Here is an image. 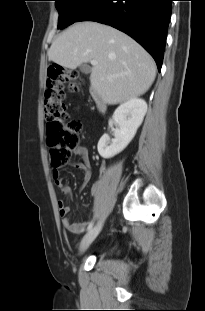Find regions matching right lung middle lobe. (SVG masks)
<instances>
[{
  "instance_id": "1",
  "label": "right lung middle lobe",
  "mask_w": 205,
  "mask_h": 311,
  "mask_svg": "<svg viewBox=\"0 0 205 311\" xmlns=\"http://www.w3.org/2000/svg\"><path fill=\"white\" fill-rule=\"evenodd\" d=\"M59 12L58 28L62 29L76 22L96 0H54Z\"/></svg>"
}]
</instances>
